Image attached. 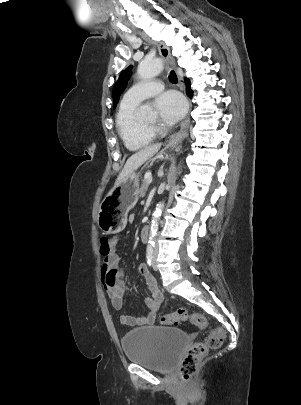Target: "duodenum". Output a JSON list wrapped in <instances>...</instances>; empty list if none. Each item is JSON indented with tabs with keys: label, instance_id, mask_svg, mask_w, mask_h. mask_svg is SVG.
<instances>
[{
	"label": "duodenum",
	"instance_id": "410a0bca",
	"mask_svg": "<svg viewBox=\"0 0 301 405\" xmlns=\"http://www.w3.org/2000/svg\"><path fill=\"white\" fill-rule=\"evenodd\" d=\"M141 241L143 243H147L149 237V228L143 227L140 233Z\"/></svg>",
	"mask_w": 301,
	"mask_h": 405
}]
</instances>
